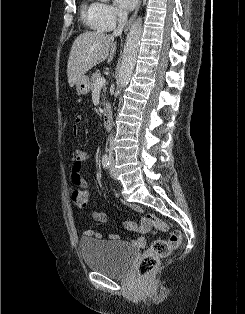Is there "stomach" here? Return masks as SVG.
Masks as SVG:
<instances>
[{
	"label": "stomach",
	"mask_w": 245,
	"mask_h": 314,
	"mask_svg": "<svg viewBox=\"0 0 245 314\" xmlns=\"http://www.w3.org/2000/svg\"><path fill=\"white\" fill-rule=\"evenodd\" d=\"M76 91L79 95H86L90 91L89 77L83 75L76 82Z\"/></svg>",
	"instance_id": "obj_1"
}]
</instances>
